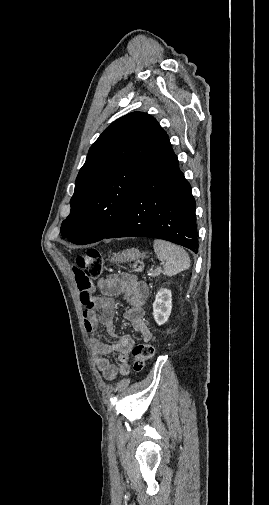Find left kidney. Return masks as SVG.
<instances>
[{
	"label": "left kidney",
	"mask_w": 269,
	"mask_h": 505,
	"mask_svg": "<svg viewBox=\"0 0 269 505\" xmlns=\"http://www.w3.org/2000/svg\"><path fill=\"white\" fill-rule=\"evenodd\" d=\"M172 310L171 290L162 288L158 291L153 303V317L158 325H163L169 319Z\"/></svg>",
	"instance_id": "5707ae66"
}]
</instances>
